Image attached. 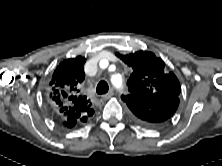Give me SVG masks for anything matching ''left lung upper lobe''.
<instances>
[{
    "label": "left lung upper lobe",
    "instance_id": "5c2ea615",
    "mask_svg": "<svg viewBox=\"0 0 222 166\" xmlns=\"http://www.w3.org/2000/svg\"><path fill=\"white\" fill-rule=\"evenodd\" d=\"M116 55L124 61L133 72L127 81L129 94L121 99L130 106L131 96L144 97L155 101L159 97L179 96L181 87L177 77L172 72L164 70L165 63L149 51H138L128 55Z\"/></svg>",
    "mask_w": 222,
    "mask_h": 166
}]
</instances>
